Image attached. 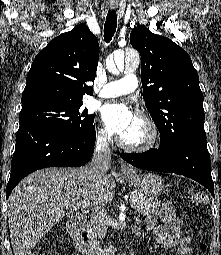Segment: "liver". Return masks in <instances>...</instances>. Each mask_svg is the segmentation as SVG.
I'll list each match as a JSON object with an SVG mask.
<instances>
[{
  "label": "liver",
  "instance_id": "1",
  "mask_svg": "<svg viewBox=\"0 0 221 255\" xmlns=\"http://www.w3.org/2000/svg\"><path fill=\"white\" fill-rule=\"evenodd\" d=\"M115 187L111 174L96 178L88 166L47 168L25 177L7 204L14 255H31L37 242L64 217L65 209H102L113 200Z\"/></svg>",
  "mask_w": 221,
  "mask_h": 255
}]
</instances>
